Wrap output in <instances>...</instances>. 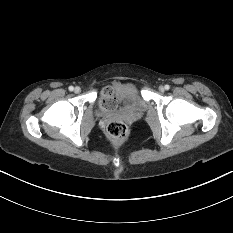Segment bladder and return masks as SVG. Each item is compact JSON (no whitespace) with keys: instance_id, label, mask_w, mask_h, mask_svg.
<instances>
[{"instance_id":"bladder-1","label":"bladder","mask_w":233,"mask_h":233,"mask_svg":"<svg viewBox=\"0 0 233 233\" xmlns=\"http://www.w3.org/2000/svg\"><path fill=\"white\" fill-rule=\"evenodd\" d=\"M112 100L114 105L107 102ZM100 108L106 113L119 112L127 114L142 113L146 110V101L138 89L131 83L116 82L101 97Z\"/></svg>"}]
</instances>
